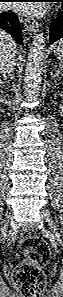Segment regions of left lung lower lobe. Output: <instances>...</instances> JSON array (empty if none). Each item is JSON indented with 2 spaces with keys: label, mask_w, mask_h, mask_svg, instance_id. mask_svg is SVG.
<instances>
[{
  "label": "left lung lower lobe",
  "mask_w": 63,
  "mask_h": 297,
  "mask_svg": "<svg viewBox=\"0 0 63 297\" xmlns=\"http://www.w3.org/2000/svg\"><path fill=\"white\" fill-rule=\"evenodd\" d=\"M59 2H63L59 0ZM63 38V6L59 16L53 20L50 27V42L53 43Z\"/></svg>",
  "instance_id": "1"
}]
</instances>
